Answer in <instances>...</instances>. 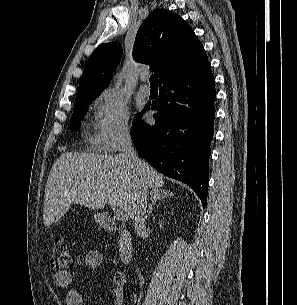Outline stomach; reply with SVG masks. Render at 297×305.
I'll return each mask as SVG.
<instances>
[{
  "instance_id": "0dacf381",
  "label": "stomach",
  "mask_w": 297,
  "mask_h": 305,
  "mask_svg": "<svg viewBox=\"0 0 297 305\" xmlns=\"http://www.w3.org/2000/svg\"><path fill=\"white\" fill-rule=\"evenodd\" d=\"M95 218H96V220H97L98 222H101V218H100L99 215H96Z\"/></svg>"
}]
</instances>
